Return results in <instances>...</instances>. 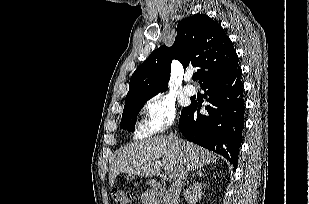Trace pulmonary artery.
<instances>
[{
    "label": "pulmonary artery",
    "instance_id": "obj_1",
    "mask_svg": "<svg viewBox=\"0 0 309 204\" xmlns=\"http://www.w3.org/2000/svg\"><path fill=\"white\" fill-rule=\"evenodd\" d=\"M183 91L185 94L192 96L196 93V88L193 85L187 84L184 86Z\"/></svg>",
    "mask_w": 309,
    "mask_h": 204
}]
</instances>
